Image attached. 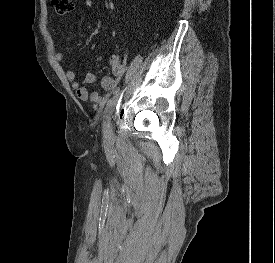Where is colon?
Wrapping results in <instances>:
<instances>
[{
	"label": "colon",
	"instance_id": "obj_1",
	"mask_svg": "<svg viewBox=\"0 0 275 263\" xmlns=\"http://www.w3.org/2000/svg\"><path fill=\"white\" fill-rule=\"evenodd\" d=\"M55 14L64 15L73 9L74 0H51Z\"/></svg>",
	"mask_w": 275,
	"mask_h": 263
}]
</instances>
